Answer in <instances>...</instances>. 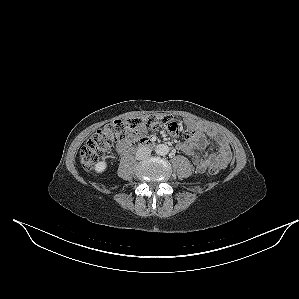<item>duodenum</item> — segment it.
Here are the masks:
<instances>
[{
    "mask_svg": "<svg viewBox=\"0 0 299 299\" xmlns=\"http://www.w3.org/2000/svg\"><path fill=\"white\" fill-rule=\"evenodd\" d=\"M153 146H155V142L149 138L135 139L130 145L131 148H143V147H153Z\"/></svg>",
    "mask_w": 299,
    "mask_h": 299,
    "instance_id": "obj_1",
    "label": "duodenum"
}]
</instances>
